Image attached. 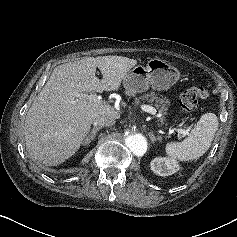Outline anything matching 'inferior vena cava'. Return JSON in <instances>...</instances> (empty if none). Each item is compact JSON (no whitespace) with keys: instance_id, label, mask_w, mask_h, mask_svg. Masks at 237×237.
Returning <instances> with one entry per match:
<instances>
[{"instance_id":"602c4592","label":"inferior vena cava","mask_w":237,"mask_h":237,"mask_svg":"<svg viewBox=\"0 0 237 237\" xmlns=\"http://www.w3.org/2000/svg\"><path fill=\"white\" fill-rule=\"evenodd\" d=\"M115 124V118L112 116H99L97 117L94 122L93 125L95 127H109Z\"/></svg>"}]
</instances>
